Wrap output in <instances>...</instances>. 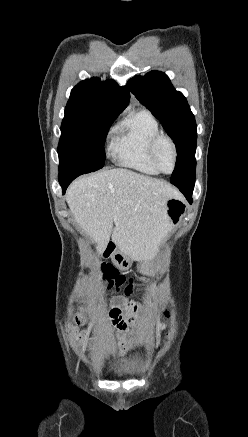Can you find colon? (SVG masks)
<instances>
[{
    "label": "colon",
    "mask_w": 248,
    "mask_h": 437,
    "mask_svg": "<svg viewBox=\"0 0 248 437\" xmlns=\"http://www.w3.org/2000/svg\"><path fill=\"white\" fill-rule=\"evenodd\" d=\"M102 270L109 288L130 294L133 290V280L121 274L110 264H103Z\"/></svg>",
    "instance_id": "colon-1"
}]
</instances>
